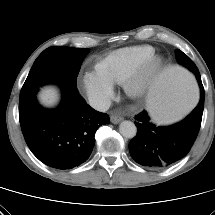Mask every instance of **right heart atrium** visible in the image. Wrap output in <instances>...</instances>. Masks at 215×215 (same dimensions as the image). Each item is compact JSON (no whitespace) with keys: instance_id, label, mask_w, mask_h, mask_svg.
Returning <instances> with one entry per match:
<instances>
[{"instance_id":"right-heart-atrium-1","label":"right heart atrium","mask_w":215,"mask_h":215,"mask_svg":"<svg viewBox=\"0 0 215 215\" xmlns=\"http://www.w3.org/2000/svg\"><path fill=\"white\" fill-rule=\"evenodd\" d=\"M79 87L91 105L105 109L114 96V86L96 70H87L79 78Z\"/></svg>"}]
</instances>
